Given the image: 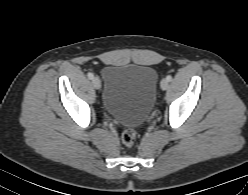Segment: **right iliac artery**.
<instances>
[{
	"instance_id": "right-iliac-artery-1",
	"label": "right iliac artery",
	"mask_w": 248,
	"mask_h": 195,
	"mask_svg": "<svg viewBox=\"0 0 248 195\" xmlns=\"http://www.w3.org/2000/svg\"><path fill=\"white\" fill-rule=\"evenodd\" d=\"M87 76H88L89 79H93L94 78L93 73H88Z\"/></svg>"
}]
</instances>
